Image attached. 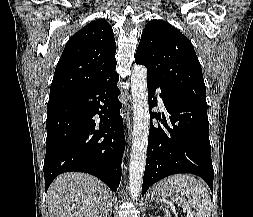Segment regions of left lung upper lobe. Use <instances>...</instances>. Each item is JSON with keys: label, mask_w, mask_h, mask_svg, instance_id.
Returning <instances> with one entry per match:
<instances>
[{"label": "left lung upper lobe", "mask_w": 253, "mask_h": 217, "mask_svg": "<svg viewBox=\"0 0 253 217\" xmlns=\"http://www.w3.org/2000/svg\"><path fill=\"white\" fill-rule=\"evenodd\" d=\"M135 61L147 67L148 79L163 90L206 103V87L192 43L163 20L145 26Z\"/></svg>", "instance_id": "left-lung-upper-lobe-1"}]
</instances>
